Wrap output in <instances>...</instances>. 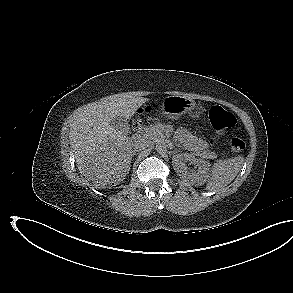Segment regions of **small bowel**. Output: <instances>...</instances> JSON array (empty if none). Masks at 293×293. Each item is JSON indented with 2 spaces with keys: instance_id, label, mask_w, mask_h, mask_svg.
<instances>
[{
  "instance_id": "1",
  "label": "small bowel",
  "mask_w": 293,
  "mask_h": 293,
  "mask_svg": "<svg viewBox=\"0 0 293 293\" xmlns=\"http://www.w3.org/2000/svg\"><path fill=\"white\" fill-rule=\"evenodd\" d=\"M179 137L192 149H204L206 147L205 141L195 137L187 131L181 130L179 132Z\"/></svg>"
}]
</instances>
